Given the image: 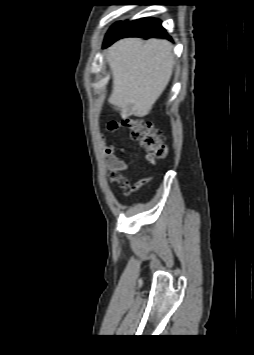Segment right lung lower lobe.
Wrapping results in <instances>:
<instances>
[{"label":"right lung lower lobe","instance_id":"1","mask_svg":"<svg viewBox=\"0 0 254 355\" xmlns=\"http://www.w3.org/2000/svg\"><path fill=\"white\" fill-rule=\"evenodd\" d=\"M124 37H158L171 40L161 26V21L154 18H143L131 22H117L108 31L103 47H108L116 40Z\"/></svg>","mask_w":254,"mask_h":355}]
</instances>
